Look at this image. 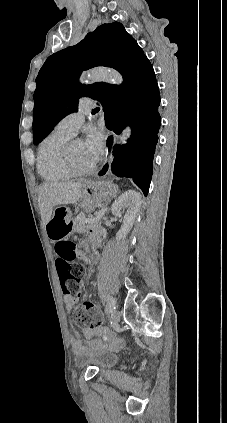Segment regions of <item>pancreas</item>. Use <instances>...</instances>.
<instances>
[{
	"instance_id": "1",
	"label": "pancreas",
	"mask_w": 227,
	"mask_h": 423,
	"mask_svg": "<svg viewBox=\"0 0 227 423\" xmlns=\"http://www.w3.org/2000/svg\"><path fill=\"white\" fill-rule=\"evenodd\" d=\"M84 213H78L73 219V231H80V233H85L88 229H93L94 225H99V219H96L94 223H84Z\"/></svg>"
}]
</instances>
